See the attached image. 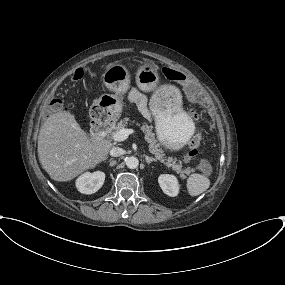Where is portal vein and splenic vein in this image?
I'll return each mask as SVG.
<instances>
[{
	"instance_id": "portal-vein-and-splenic-vein-1",
	"label": "portal vein and splenic vein",
	"mask_w": 285,
	"mask_h": 285,
	"mask_svg": "<svg viewBox=\"0 0 285 285\" xmlns=\"http://www.w3.org/2000/svg\"><path fill=\"white\" fill-rule=\"evenodd\" d=\"M133 133H134L133 129H121L117 131L116 133H114L112 138L116 142H121V141L126 140L128 136Z\"/></svg>"
}]
</instances>
